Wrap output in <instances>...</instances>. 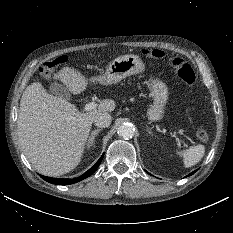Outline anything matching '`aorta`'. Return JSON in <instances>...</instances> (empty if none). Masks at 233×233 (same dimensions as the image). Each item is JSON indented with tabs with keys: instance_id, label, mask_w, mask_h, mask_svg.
Listing matches in <instances>:
<instances>
[{
	"instance_id": "obj_1",
	"label": "aorta",
	"mask_w": 233,
	"mask_h": 233,
	"mask_svg": "<svg viewBox=\"0 0 233 233\" xmlns=\"http://www.w3.org/2000/svg\"><path fill=\"white\" fill-rule=\"evenodd\" d=\"M135 128L130 123H124L118 127V135L124 139L132 138Z\"/></svg>"
}]
</instances>
